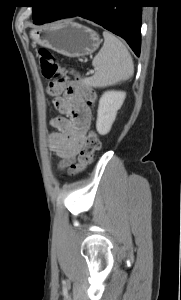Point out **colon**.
Listing matches in <instances>:
<instances>
[{"label":"colon","instance_id":"colon-1","mask_svg":"<svg viewBox=\"0 0 181 300\" xmlns=\"http://www.w3.org/2000/svg\"><path fill=\"white\" fill-rule=\"evenodd\" d=\"M41 72L44 78L49 80L47 94L56 96L65 93L67 96L77 95L85 99L88 105H93L96 101V93L85 84L83 78L74 73L75 81L69 82L65 70L59 63L58 58L48 50L39 51ZM101 143L98 134L90 131L79 152L77 161L68 167V173L75 175L86 169L92 162L96 151L100 149Z\"/></svg>","mask_w":181,"mask_h":300}]
</instances>
